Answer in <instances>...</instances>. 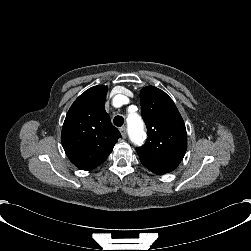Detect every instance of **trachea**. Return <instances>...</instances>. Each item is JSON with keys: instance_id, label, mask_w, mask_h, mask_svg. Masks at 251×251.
Wrapping results in <instances>:
<instances>
[{"instance_id": "1", "label": "trachea", "mask_w": 251, "mask_h": 251, "mask_svg": "<svg viewBox=\"0 0 251 251\" xmlns=\"http://www.w3.org/2000/svg\"><path fill=\"white\" fill-rule=\"evenodd\" d=\"M113 123L117 127H121L124 124V118L122 116L114 117Z\"/></svg>"}]
</instances>
